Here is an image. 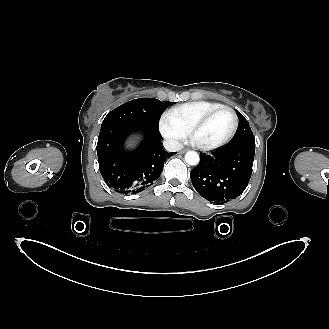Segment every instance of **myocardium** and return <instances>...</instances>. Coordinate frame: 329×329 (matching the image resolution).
<instances>
[{"mask_svg":"<svg viewBox=\"0 0 329 329\" xmlns=\"http://www.w3.org/2000/svg\"><path fill=\"white\" fill-rule=\"evenodd\" d=\"M224 110L229 111L233 116V127H232L229 135L222 141H219L216 143L205 144V143H200V142L196 141L195 140L196 133L203 126H205L213 116H215L216 114H218L219 112L224 111ZM238 125H239V120H238V116H237L235 110L230 106L223 105L221 107H218V108L210 111L204 117H202L200 120H198L195 124H193L189 130V136H190V139L192 140L193 144L197 148H199L201 150H213V149L222 147V146L226 145L227 143H229L235 136L237 129H238Z\"/></svg>","mask_w":329,"mask_h":329,"instance_id":"myocardium-1","label":"myocardium"}]
</instances>
